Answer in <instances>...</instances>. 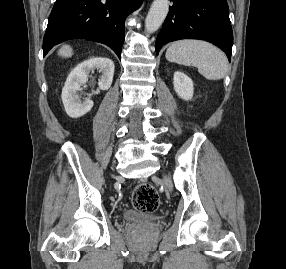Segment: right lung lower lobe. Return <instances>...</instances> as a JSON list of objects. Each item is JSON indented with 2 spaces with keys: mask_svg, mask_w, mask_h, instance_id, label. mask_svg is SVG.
I'll use <instances>...</instances> for the list:
<instances>
[{
  "mask_svg": "<svg viewBox=\"0 0 286 269\" xmlns=\"http://www.w3.org/2000/svg\"><path fill=\"white\" fill-rule=\"evenodd\" d=\"M143 0H57L43 39L44 56L56 44L87 39L108 45L120 58L126 16Z\"/></svg>",
  "mask_w": 286,
  "mask_h": 269,
  "instance_id": "98d812e1",
  "label": "right lung lower lobe"
}]
</instances>
